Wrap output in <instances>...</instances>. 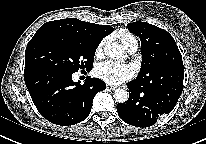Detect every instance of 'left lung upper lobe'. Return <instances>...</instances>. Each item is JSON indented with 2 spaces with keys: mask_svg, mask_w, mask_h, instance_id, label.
Wrapping results in <instances>:
<instances>
[{
  "mask_svg": "<svg viewBox=\"0 0 206 144\" xmlns=\"http://www.w3.org/2000/svg\"><path fill=\"white\" fill-rule=\"evenodd\" d=\"M127 28L141 40L142 66L134 82L151 87L183 79L182 56L167 31L141 21Z\"/></svg>",
  "mask_w": 206,
  "mask_h": 144,
  "instance_id": "1",
  "label": "left lung upper lobe"
}]
</instances>
